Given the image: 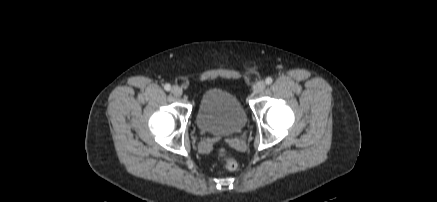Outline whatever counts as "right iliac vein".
Listing matches in <instances>:
<instances>
[{
	"instance_id": "63e3f726",
	"label": "right iliac vein",
	"mask_w": 437,
	"mask_h": 202,
	"mask_svg": "<svg viewBox=\"0 0 437 202\" xmlns=\"http://www.w3.org/2000/svg\"><path fill=\"white\" fill-rule=\"evenodd\" d=\"M171 93L176 97H180L183 94V91L180 87L173 86L171 89Z\"/></svg>"
}]
</instances>
